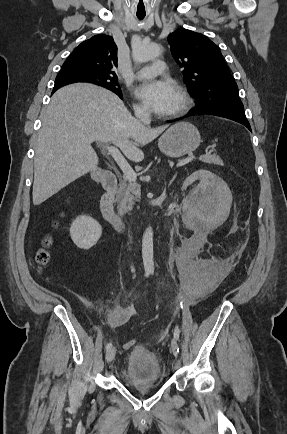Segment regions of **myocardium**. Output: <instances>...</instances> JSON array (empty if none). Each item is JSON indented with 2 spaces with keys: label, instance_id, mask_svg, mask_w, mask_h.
<instances>
[{
  "label": "myocardium",
  "instance_id": "f54148a6",
  "mask_svg": "<svg viewBox=\"0 0 287 434\" xmlns=\"http://www.w3.org/2000/svg\"><path fill=\"white\" fill-rule=\"evenodd\" d=\"M178 94L180 96L181 103L175 111H172L168 114V117L170 118H177L184 115L191 106V98L185 89L179 87Z\"/></svg>",
  "mask_w": 287,
  "mask_h": 434
}]
</instances>
